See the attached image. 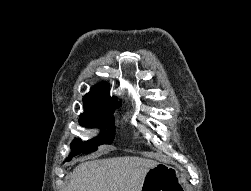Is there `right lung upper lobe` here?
<instances>
[{
    "instance_id": "obj_1",
    "label": "right lung upper lobe",
    "mask_w": 251,
    "mask_h": 191,
    "mask_svg": "<svg viewBox=\"0 0 251 191\" xmlns=\"http://www.w3.org/2000/svg\"><path fill=\"white\" fill-rule=\"evenodd\" d=\"M84 109L110 107L121 104L115 102L114 98L109 95V86L106 83H100L87 93L84 98Z\"/></svg>"
}]
</instances>
